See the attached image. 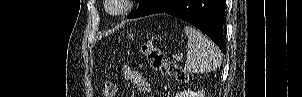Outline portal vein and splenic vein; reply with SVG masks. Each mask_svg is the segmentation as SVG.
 <instances>
[{"mask_svg": "<svg viewBox=\"0 0 302 97\" xmlns=\"http://www.w3.org/2000/svg\"><path fill=\"white\" fill-rule=\"evenodd\" d=\"M175 58H176V61H178V62L182 60L181 56H176Z\"/></svg>", "mask_w": 302, "mask_h": 97, "instance_id": "18ae733b", "label": "portal vein and splenic vein"}]
</instances>
